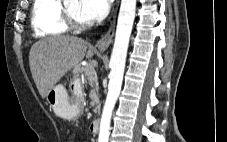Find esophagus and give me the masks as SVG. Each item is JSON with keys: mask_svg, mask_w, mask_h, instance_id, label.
Instances as JSON below:
<instances>
[{"mask_svg": "<svg viewBox=\"0 0 227 142\" xmlns=\"http://www.w3.org/2000/svg\"><path fill=\"white\" fill-rule=\"evenodd\" d=\"M118 5H119V0H116V3L114 5V7L111 11L110 17H109V21H110L109 30L96 42V46L100 49H107L109 47V45L112 43Z\"/></svg>", "mask_w": 227, "mask_h": 142, "instance_id": "esophagus-1", "label": "esophagus"}]
</instances>
